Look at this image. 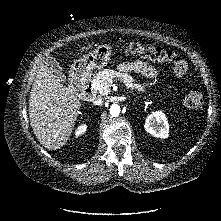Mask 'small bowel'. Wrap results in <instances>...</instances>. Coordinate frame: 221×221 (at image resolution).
I'll return each instance as SVG.
<instances>
[{
  "mask_svg": "<svg viewBox=\"0 0 221 221\" xmlns=\"http://www.w3.org/2000/svg\"><path fill=\"white\" fill-rule=\"evenodd\" d=\"M118 69L122 72H137L147 78H156L157 70L148 63L142 61L126 62L118 65Z\"/></svg>",
  "mask_w": 221,
  "mask_h": 221,
  "instance_id": "c3829d8e",
  "label": "small bowel"
}]
</instances>
